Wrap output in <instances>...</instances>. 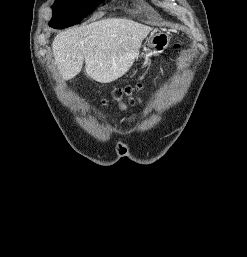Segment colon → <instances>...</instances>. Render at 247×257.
Segmentation results:
<instances>
[{"label":"colon","mask_w":247,"mask_h":257,"mask_svg":"<svg viewBox=\"0 0 247 257\" xmlns=\"http://www.w3.org/2000/svg\"><path fill=\"white\" fill-rule=\"evenodd\" d=\"M139 89L138 85L135 86H126L124 88H119L114 92V98L116 100H122L127 98L130 102H134L133 94ZM125 104H121V108L124 109Z\"/></svg>","instance_id":"obj_1"}]
</instances>
